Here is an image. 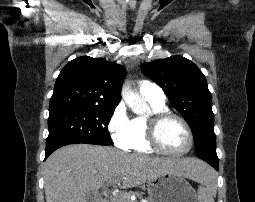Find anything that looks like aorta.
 I'll return each mask as SVG.
<instances>
[{
	"label": "aorta",
	"instance_id": "aorta-1",
	"mask_svg": "<svg viewBox=\"0 0 255 202\" xmlns=\"http://www.w3.org/2000/svg\"><path fill=\"white\" fill-rule=\"evenodd\" d=\"M123 99L128 107L138 115H143L148 109L147 103L141 98L136 90L126 87L123 90Z\"/></svg>",
	"mask_w": 255,
	"mask_h": 202
}]
</instances>
